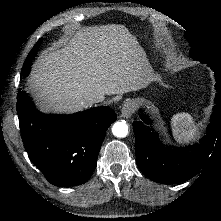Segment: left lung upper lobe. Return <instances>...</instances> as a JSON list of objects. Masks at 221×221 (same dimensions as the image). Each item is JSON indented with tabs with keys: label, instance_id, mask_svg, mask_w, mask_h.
Segmentation results:
<instances>
[{
	"label": "left lung upper lobe",
	"instance_id": "left-lung-upper-lobe-1",
	"mask_svg": "<svg viewBox=\"0 0 221 221\" xmlns=\"http://www.w3.org/2000/svg\"><path fill=\"white\" fill-rule=\"evenodd\" d=\"M185 37L187 38V40L190 42L191 45V50H190L191 57L195 60H199L202 63H208L206 54L201 48V46L196 44L187 33H185Z\"/></svg>",
	"mask_w": 221,
	"mask_h": 221
}]
</instances>
